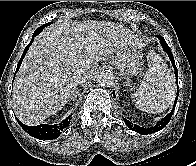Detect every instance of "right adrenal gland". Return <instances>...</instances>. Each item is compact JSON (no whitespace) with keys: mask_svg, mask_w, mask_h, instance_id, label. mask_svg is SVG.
Instances as JSON below:
<instances>
[{"mask_svg":"<svg viewBox=\"0 0 196 166\" xmlns=\"http://www.w3.org/2000/svg\"><path fill=\"white\" fill-rule=\"evenodd\" d=\"M77 95H78V88H76L75 93H74V96H73L70 100H71V101H75L76 98H77ZM70 100H69V101H70Z\"/></svg>","mask_w":196,"mask_h":166,"instance_id":"right-adrenal-gland-1","label":"right adrenal gland"}]
</instances>
